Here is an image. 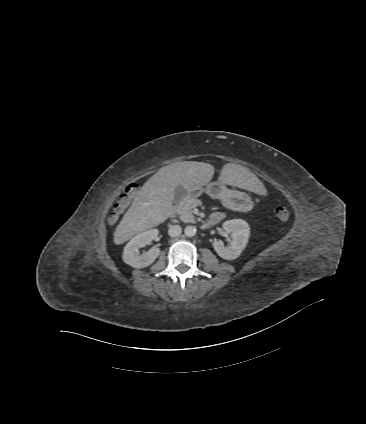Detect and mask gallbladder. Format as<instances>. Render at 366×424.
I'll list each match as a JSON object with an SVG mask.
<instances>
[{
  "instance_id": "gallbladder-1",
  "label": "gallbladder",
  "mask_w": 366,
  "mask_h": 424,
  "mask_svg": "<svg viewBox=\"0 0 366 424\" xmlns=\"http://www.w3.org/2000/svg\"><path fill=\"white\" fill-rule=\"evenodd\" d=\"M185 195V190L182 186H177V188L175 189V201H179L181 200Z\"/></svg>"
}]
</instances>
